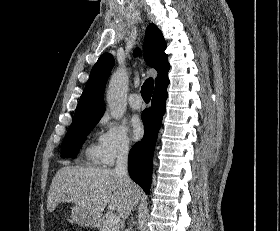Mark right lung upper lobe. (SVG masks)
<instances>
[{
    "instance_id": "1",
    "label": "right lung upper lobe",
    "mask_w": 280,
    "mask_h": 231,
    "mask_svg": "<svg viewBox=\"0 0 280 231\" xmlns=\"http://www.w3.org/2000/svg\"><path fill=\"white\" fill-rule=\"evenodd\" d=\"M145 54L151 67L156 69L158 75L155 79V91L166 90L169 79L168 70L170 65L167 61L168 55L164 52L166 42L162 32L155 24H149L146 29ZM139 49H135L134 56L139 55ZM114 66V58L109 53L100 56L93 66L85 89L78 102L72 125L87 121L100 120L105 111L103 92L107 78Z\"/></svg>"
}]
</instances>
